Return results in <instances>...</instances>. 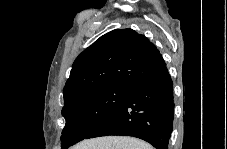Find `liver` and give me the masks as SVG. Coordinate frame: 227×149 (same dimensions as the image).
Returning a JSON list of instances; mask_svg holds the SVG:
<instances>
[{"mask_svg": "<svg viewBox=\"0 0 227 149\" xmlns=\"http://www.w3.org/2000/svg\"><path fill=\"white\" fill-rule=\"evenodd\" d=\"M76 149H152V146L133 137L106 136L85 140Z\"/></svg>", "mask_w": 227, "mask_h": 149, "instance_id": "1", "label": "liver"}]
</instances>
